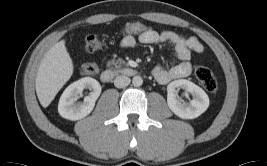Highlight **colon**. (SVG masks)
<instances>
[{"mask_svg":"<svg viewBox=\"0 0 267 166\" xmlns=\"http://www.w3.org/2000/svg\"><path fill=\"white\" fill-rule=\"evenodd\" d=\"M120 30L123 34L141 33L147 30V27L141 23L125 22L121 25ZM105 41L98 35L90 34L85 37L84 48L87 52H96L104 49ZM97 71V66L93 63H85L81 66V73L84 75H92ZM194 75L201 85L210 93L218 92V82L214 74L203 66L194 67Z\"/></svg>","mask_w":267,"mask_h":166,"instance_id":"obj_1","label":"colon"}]
</instances>
